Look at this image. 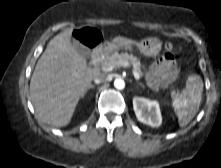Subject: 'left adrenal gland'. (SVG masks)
I'll use <instances>...</instances> for the list:
<instances>
[{"instance_id": "obj_1", "label": "left adrenal gland", "mask_w": 221, "mask_h": 168, "mask_svg": "<svg viewBox=\"0 0 221 168\" xmlns=\"http://www.w3.org/2000/svg\"><path fill=\"white\" fill-rule=\"evenodd\" d=\"M139 86H141L142 88H145V86H144V85H142V84H139Z\"/></svg>"}]
</instances>
